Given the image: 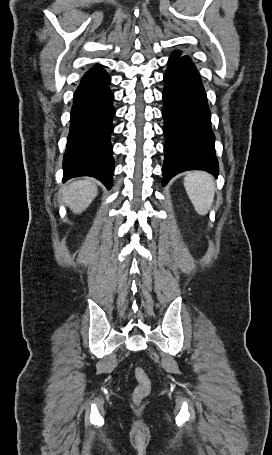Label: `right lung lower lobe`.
I'll use <instances>...</instances> for the list:
<instances>
[{"label": "right lung lower lobe", "instance_id": "obj_1", "mask_svg": "<svg viewBox=\"0 0 272 455\" xmlns=\"http://www.w3.org/2000/svg\"><path fill=\"white\" fill-rule=\"evenodd\" d=\"M111 78L104 70L84 76L75 91L71 125L63 157L64 181L77 176H92L108 189L112 185L114 159L110 134L115 109Z\"/></svg>", "mask_w": 272, "mask_h": 455}]
</instances>
